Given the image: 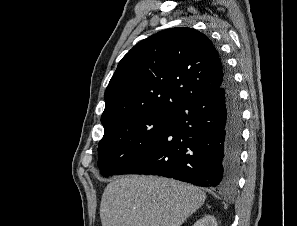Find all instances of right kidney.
Returning <instances> with one entry per match:
<instances>
[{
    "instance_id": "ca27d5eb",
    "label": "right kidney",
    "mask_w": 297,
    "mask_h": 226,
    "mask_svg": "<svg viewBox=\"0 0 297 226\" xmlns=\"http://www.w3.org/2000/svg\"><path fill=\"white\" fill-rule=\"evenodd\" d=\"M193 226H217V221L214 216L205 215L194 223Z\"/></svg>"
}]
</instances>
